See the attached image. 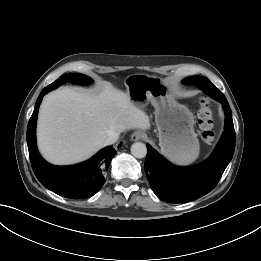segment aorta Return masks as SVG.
I'll return each mask as SVG.
<instances>
[{
    "mask_svg": "<svg viewBox=\"0 0 261 261\" xmlns=\"http://www.w3.org/2000/svg\"><path fill=\"white\" fill-rule=\"evenodd\" d=\"M131 154L136 158H144L147 154L146 145L142 142L133 143L131 146Z\"/></svg>",
    "mask_w": 261,
    "mask_h": 261,
    "instance_id": "obj_1",
    "label": "aorta"
}]
</instances>
